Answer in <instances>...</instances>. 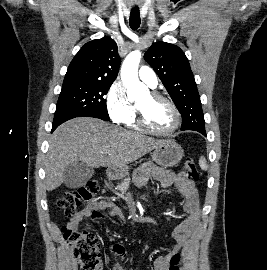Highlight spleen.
I'll use <instances>...</instances> for the list:
<instances>
[{
    "instance_id": "spleen-1",
    "label": "spleen",
    "mask_w": 267,
    "mask_h": 270,
    "mask_svg": "<svg viewBox=\"0 0 267 270\" xmlns=\"http://www.w3.org/2000/svg\"><path fill=\"white\" fill-rule=\"evenodd\" d=\"M199 165H200L202 170H207V168H208L207 163H206V159L203 156L199 159Z\"/></svg>"
}]
</instances>
